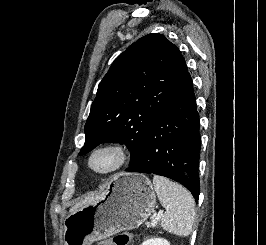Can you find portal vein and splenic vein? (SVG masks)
<instances>
[{
  "label": "portal vein and splenic vein",
  "mask_w": 266,
  "mask_h": 245,
  "mask_svg": "<svg viewBox=\"0 0 266 245\" xmlns=\"http://www.w3.org/2000/svg\"><path fill=\"white\" fill-rule=\"evenodd\" d=\"M162 215H163V211H159L156 219H154V221H152L151 227H156V225H157L158 221H160Z\"/></svg>",
  "instance_id": "portal-vein-and-splenic-vein-1"
}]
</instances>
